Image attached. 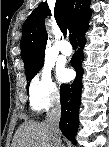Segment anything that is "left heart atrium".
I'll return each instance as SVG.
<instances>
[{"label":"left heart atrium","mask_w":109,"mask_h":147,"mask_svg":"<svg viewBox=\"0 0 109 147\" xmlns=\"http://www.w3.org/2000/svg\"><path fill=\"white\" fill-rule=\"evenodd\" d=\"M59 77L61 80H68L70 77L69 71L68 70H61L59 72Z\"/></svg>","instance_id":"39dd6f15"}]
</instances>
